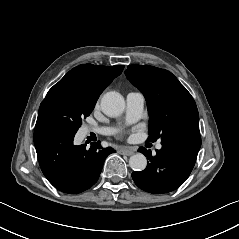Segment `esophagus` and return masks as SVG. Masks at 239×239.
Instances as JSON below:
<instances>
[{
    "instance_id": "34e87169",
    "label": "esophagus",
    "mask_w": 239,
    "mask_h": 239,
    "mask_svg": "<svg viewBox=\"0 0 239 239\" xmlns=\"http://www.w3.org/2000/svg\"><path fill=\"white\" fill-rule=\"evenodd\" d=\"M119 153L122 154V155L130 156L134 152L132 150H121V151H119Z\"/></svg>"
}]
</instances>
